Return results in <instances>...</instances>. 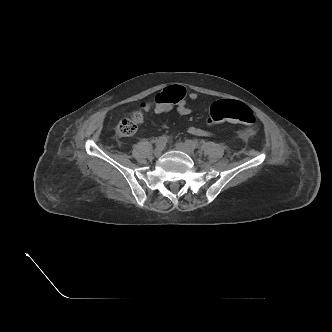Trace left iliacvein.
I'll use <instances>...</instances> for the list:
<instances>
[{"mask_svg":"<svg viewBox=\"0 0 332 332\" xmlns=\"http://www.w3.org/2000/svg\"><path fill=\"white\" fill-rule=\"evenodd\" d=\"M176 149L183 151L189 155L193 154L194 149L189 146L187 143L178 142L176 143Z\"/></svg>","mask_w":332,"mask_h":332,"instance_id":"4c4485c4","label":"left iliac vein"}]
</instances>
